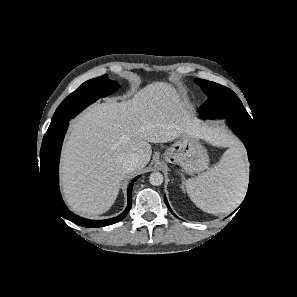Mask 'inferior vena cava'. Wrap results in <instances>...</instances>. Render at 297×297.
I'll list each match as a JSON object with an SVG mask.
<instances>
[{
    "label": "inferior vena cava",
    "instance_id": "obj_1",
    "mask_svg": "<svg viewBox=\"0 0 297 297\" xmlns=\"http://www.w3.org/2000/svg\"><path fill=\"white\" fill-rule=\"evenodd\" d=\"M139 162H140V158L138 155H135V154L130 155L124 160V163H123L124 171L126 173L134 171L135 168L138 166Z\"/></svg>",
    "mask_w": 297,
    "mask_h": 297
}]
</instances>
